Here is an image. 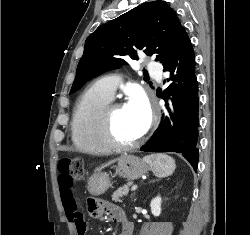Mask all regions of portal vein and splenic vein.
Returning <instances> with one entry per match:
<instances>
[{"label": "portal vein and splenic vein", "mask_w": 250, "mask_h": 235, "mask_svg": "<svg viewBox=\"0 0 250 235\" xmlns=\"http://www.w3.org/2000/svg\"><path fill=\"white\" fill-rule=\"evenodd\" d=\"M137 189V185H133L131 191H135Z\"/></svg>", "instance_id": "portal-vein-and-splenic-vein-1"}]
</instances>
